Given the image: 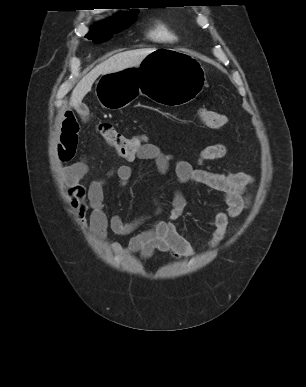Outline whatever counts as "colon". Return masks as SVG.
Returning <instances> with one entry per match:
<instances>
[{
    "label": "colon",
    "mask_w": 306,
    "mask_h": 387,
    "mask_svg": "<svg viewBox=\"0 0 306 387\" xmlns=\"http://www.w3.org/2000/svg\"><path fill=\"white\" fill-rule=\"evenodd\" d=\"M198 115L202 125L210 129H219L227 123L225 114L206 108H200ZM97 130L106 143L123 159L135 154L147 142L144 135L126 136L107 122L99 123Z\"/></svg>",
    "instance_id": "5ec220e1"
}]
</instances>
